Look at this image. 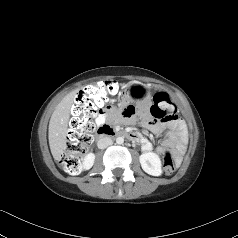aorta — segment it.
Instances as JSON below:
<instances>
[{"label":"aorta","instance_id":"aorta-1","mask_svg":"<svg viewBox=\"0 0 238 238\" xmlns=\"http://www.w3.org/2000/svg\"><path fill=\"white\" fill-rule=\"evenodd\" d=\"M116 143L117 144H123L124 143V138L123 137H117L116 138Z\"/></svg>","mask_w":238,"mask_h":238}]
</instances>
